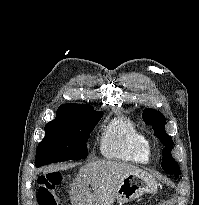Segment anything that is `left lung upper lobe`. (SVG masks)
Segmentation results:
<instances>
[{"mask_svg": "<svg viewBox=\"0 0 199 205\" xmlns=\"http://www.w3.org/2000/svg\"><path fill=\"white\" fill-rule=\"evenodd\" d=\"M143 119L146 124L153 126L154 134L165 146L162 153V168L166 172L173 174L176 178L179 177L180 167L171 155L174 143L172 141V138L168 136L165 131V117L159 111H156L154 109H145L143 111Z\"/></svg>", "mask_w": 199, "mask_h": 205, "instance_id": "obj_1", "label": "left lung upper lobe"}]
</instances>
